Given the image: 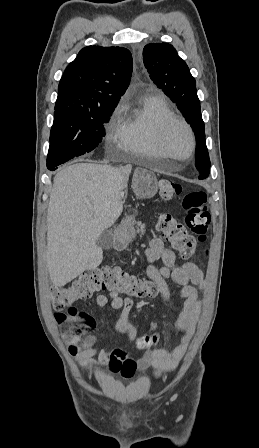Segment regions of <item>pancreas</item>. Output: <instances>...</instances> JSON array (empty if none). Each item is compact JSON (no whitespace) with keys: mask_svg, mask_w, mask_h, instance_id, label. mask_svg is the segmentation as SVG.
I'll list each match as a JSON object with an SVG mask.
<instances>
[{"mask_svg":"<svg viewBox=\"0 0 259 448\" xmlns=\"http://www.w3.org/2000/svg\"><path fill=\"white\" fill-rule=\"evenodd\" d=\"M137 226H138V234H141L140 238H142V236H144L145 234V224H142V222H137Z\"/></svg>","mask_w":259,"mask_h":448,"instance_id":"1","label":"pancreas"}]
</instances>
